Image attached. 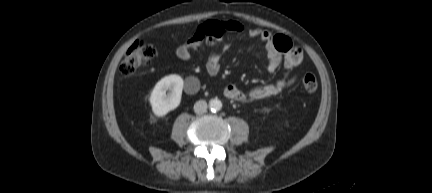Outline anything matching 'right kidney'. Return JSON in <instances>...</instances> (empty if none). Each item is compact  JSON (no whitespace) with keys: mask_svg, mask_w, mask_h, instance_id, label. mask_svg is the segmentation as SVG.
I'll return each mask as SVG.
<instances>
[{"mask_svg":"<svg viewBox=\"0 0 432 193\" xmlns=\"http://www.w3.org/2000/svg\"><path fill=\"white\" fill-rule=\"evenodd\" d=\"M183 84V79L177 74L165 76L157 82L149 98L152 111L156 116L163 117L179 106ZM168 90L170 92L166 93Z\"/></svg>","mask_w":432,"mask_h":193,"instance_id":"1","label":"right kidney"}]
</instances>
